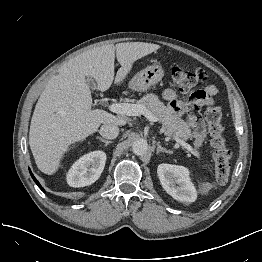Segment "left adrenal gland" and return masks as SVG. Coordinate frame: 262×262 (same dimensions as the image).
<instances>
[{
    "label": "left adrenal gland",
    "instance_id": "obj_1",
    "mask_svg": "<svg viewBox=\"0 0 262 262\" xmlns=\"http://www.w3.org/2000/svg\"><path fill=\"white\" fill-rule=\"evenodd\" d=\"M160 152L168 153V154H171V153H172V151L167 150L166 148L162 147V146L160 145V142H157V154H159Z\"/></svg>",
    "mask_w": 262,
    "mask_h": 262
}]
</instances>
